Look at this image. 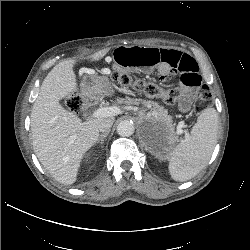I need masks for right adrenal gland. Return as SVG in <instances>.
Wrapping results in <instances>:
<instances>
[{"mask_svg": "<svg viewBox=\"0 0 250 250\" xmlns=\"http://www.w3.org/2000/svg\"><path fill=\"white\" fill-rule=\"evenodd\" d=\"M109 134V131L106 132V133H103L99 136V138L97 139L96 143H101L103 144L104 143V139L108 136Z\"/></svg>", "mask_w": 250, "mask_h": 250, "instance_id": "obj_1", "label": "right adrenal gland"}]
</instances>
